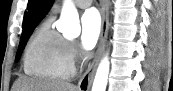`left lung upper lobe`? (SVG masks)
Here are the masks:
<instances>
[{"instance_id": "1", "label": "left lung upper lobe", "mask_w": 173, "mask_h": 91, "mask_svg": "<svg viewBox=\"0 0 173 91\" xmlns=\"http://www.w3.org/2000/svg\"><path fill=\"white\" fill-rule=\"evenodd\" d=\"M32 3H33V0H29V1H28V6H27V8H29V7L31 6Z\"/></svg>"}]
</instances>
